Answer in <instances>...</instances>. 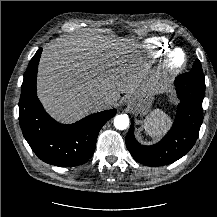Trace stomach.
I'll return each mask as SVG.
<instances>
[{
	"instance_id": "0dacf381",
	"label": "stomach",
	"mask_w": 217,
	"mask_h": 217,
	"mask_svg": "<svg viewBox=\"0 0 217 217\" xmlns=\"http://www.w3.org/2000/svg\"><path fill=\"white\" fill-rule=\"evenodd\" d=\"M153 100L154 95L150 93L129 98V102L140 115H146L150 111Z\"/></svg>"
}]
</instances>
